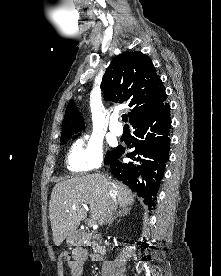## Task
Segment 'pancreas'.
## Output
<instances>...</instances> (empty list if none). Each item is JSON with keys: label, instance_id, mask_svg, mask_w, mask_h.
<instances>
[{"label": "pancreas", "instance_id": "pancreas-1", "mask_svg": "<svg viewBox=\"0 0 221 276\" xmlns=\"http://www.w3.org/2000/svg\"><path fill=\"white\" fill-rule=\"evenodd\" d=\"M91 244H93L94 248L96 246L95 242H91V238L87 241V246H90Z\"/></svg>", "mask_w": 221, "mask_h": 276}]
</instances>
